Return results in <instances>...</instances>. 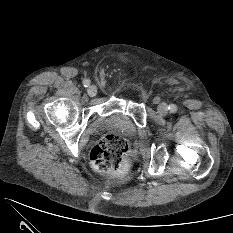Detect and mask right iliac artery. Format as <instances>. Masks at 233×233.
<instances>
[{
    "mask_svg": "<svg viewBox=\"0 0 233 233\" xmlns=\"http://www.w3.org/2000/svg\"><path fill=\"white\" fill-rule=\"evenodd\" d=\"M83 85H84V87H89V86H90V80L85 79V80L83 81Z\"/></svg>",
    "mask_w": 233,
    "mask_h": 233,
    "instance_id": "82829eb1",
    "label": "right iliac artery"
}]
</instances>
